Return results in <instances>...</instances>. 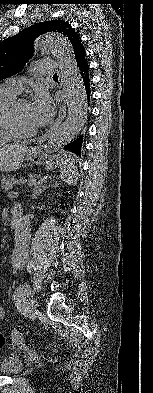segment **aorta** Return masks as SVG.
<instances>
[{"instance_id":"1","label":"aorta","mask_w":153,"mask_h":393,"mask_svg":"<svg viewBox=\"0 0 153 393\" xmlns=\"http://www.w3.org/2000/svg\"><path fill=\"white\" fill-rule=\"evenodd\" d=\"M36 53H50L58 62L59 80L67 102L68 118L60 126L49 129L47 141L51 144H64L71 140L83 127L87 113L86 92L70 41L60 35L48 33L37 38L34 44ZM30 215H24L15 228L17 250L12 257L15 270L23 269L28 262L30 236Z\"/></svg>"}]
</instances>
